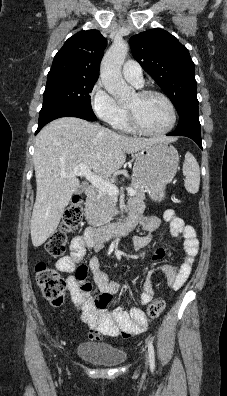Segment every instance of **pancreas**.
<instances>
[{
	"label": "pancreas",
	"instance_id": "pancreas-1",
	"mask_svg": "<svg viewBox=\"0 0 227 396\" xmlns=\"http://www.w3.org/2000/svg\"><path fill=\"white\" fill-rule=\"evenodd\" d=\"M131 188L136 191V196L145 198V191L142 185L132 179ZM117 197L99 191L93 200L86 204L85 216L88 224L92 226H102L109 223L116 214Z\"/></svg>",
	"mask_w": 227,
	"mask_h": 396
}]
</instances>
